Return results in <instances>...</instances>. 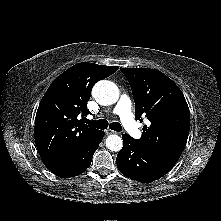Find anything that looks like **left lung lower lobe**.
Returning <instances> with one entry per match:
<instances>
[{
	"label": "left lung lower lobe",
	"mask_w": 221,
	"mask_h": 221,
	"mask_svg": "<svg viewBox=\"0 0 221 221\" xmlns=\"http://www.w3.org/2000/svg\"><path fill=\"white\" fill-rule=\"evenodd\" d=\"M123 148L116 159L122 174L133 180L147 183L158 180L172 169V164L142 148L128 134L122 135Z\"/></svg>",
	"instance_id": "obj_1"
}]
</instances>
